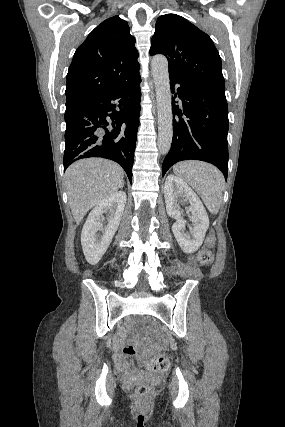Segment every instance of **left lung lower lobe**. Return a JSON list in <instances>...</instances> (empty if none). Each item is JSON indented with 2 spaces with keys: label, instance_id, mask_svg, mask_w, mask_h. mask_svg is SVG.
<instances>
[{
  "label": "left lung lower lobe",
  "instance_id": "left-lung-lower-lobe-1",
  "mask_svg": "<svg viewBox=\"0 0 285 427\" xmlns=\"http://www.w3.org/2000/svg\"><path fill=\"white\" fill-rule=\"evenodd\" d=\"M178 84L175 97L182 109L173 104V140L162 165V176L175 163L201 160L218 167L227 179L229 128L225 92L170 78V87Z\"/></svg>",
  "mask_w": 285,
  "mask_h": 427
}]
</instances>
